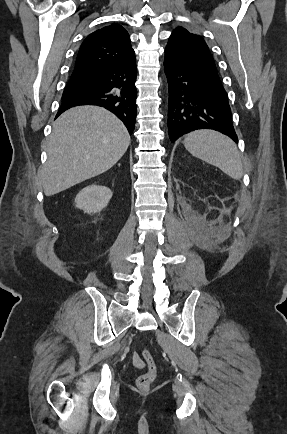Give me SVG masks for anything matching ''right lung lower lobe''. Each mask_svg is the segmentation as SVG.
Returning <instances> with one entry per match:
<instances>
[{"mask_svg": "<svg viewBox=\"0 0 287 434\" xmlns=\"http://www.w3.org/2000/svg\"><path fill=\"white\" fill-rule=\"evenodd\" d=\"M136 60L73 71L57 113L77 105H98L123 121L130 134L135 129Z\"/></svg>", "mask_w": 287, "mask_h": 434, "instance_id": "right-lung-lower-lobe-1", "label": "right lung lower lobe"}]
</instances>
